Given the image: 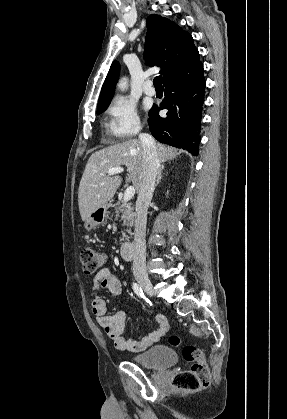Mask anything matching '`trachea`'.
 Listing matches in <instances>:
<instances>
[{
	"mask_svg": "<svg viewBox=\"0 0 287 419\" xmlns=\"http://www.w3.org/2000/svg\"><path fill=\"white\" fill-rule=\"evenodd\" d=\"M153 84L155 88H161L162 87V78L161 76H157L153 80Z\"/></svg>",
	"mask_w": 287,
	"mask_h": 419,
	"instance_id": "trachea-1",
	"label": "trachea"
}]
</instances>
